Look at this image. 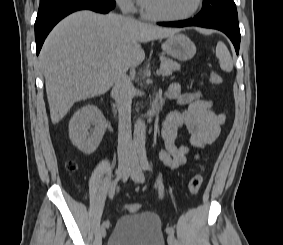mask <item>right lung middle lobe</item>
I'll use <instances>...</instances> for the list:
<instances>
[{"mask_svg": "<svg viewBox=\"0 0 283 245\" xmlns=\"http://www.w3.org/2000/svg\"><path fill=\"white\" fill-rule=\"evenodd\" d=\"M49 0H40V3H44V2H47Z\"/></svg>", "mask_w": 283, "mask_h": 245, "instance_id": "obj_1", "label": "right lung middle lobe"}]
</instances>
